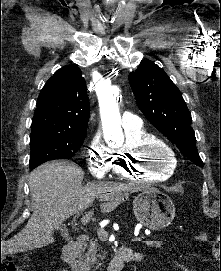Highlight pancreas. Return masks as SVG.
Instances as JSON below:
<instances>
[{
    "instance_id": "1",
    "label": "pancreas",
    "mask_w": 221,
    "mask_h": 271,
    "mask_svg": "<svg viewBox=\"0 0 221 271\" xmlns=\"http://www.w3.org/2000/svg\"><path fill=\"white\" fill-rule=\"evenodd\" d=\"M140 244H144V247H164L163 239H140ZM98 245L96 241H90L89 245L85 247L84 255H81L80 259L85 263V265H93L96 263L98 257H105V255H99Z\"/></svg>"
}]
</instances>
